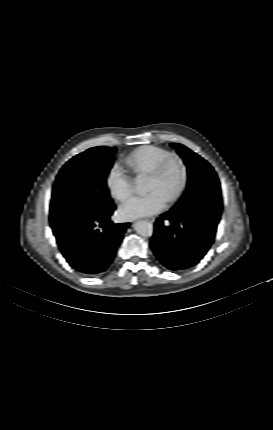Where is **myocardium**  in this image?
Instances as JSON below:
<instances>
[{"mask_svg":"<svg viewBox=\"0 0 273 430\" xmlns=\"http://www.w3.org/2000/svg\"><path fill=\"white\" fill-rule=\"evenodd\" d=\"M173 164H176L179 167L181 177L177 187L170 193V195L166 199L168 203H174L175 201H177L187 187L189 172L184 160L178 155L170 154L168 157L162 160L160 164L148 175L151 178L160 179L165 175L168 168Z\"/></svg>","mask_w":273,"mask_h":430,"instance_id":"1","label":"myocardium"}]
</instances>
